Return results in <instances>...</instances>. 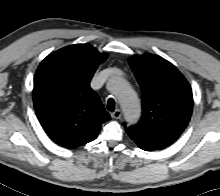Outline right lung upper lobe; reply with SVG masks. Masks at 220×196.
<instances>
[{"instance_id": "cb5924a9", "label": "right lung upper lobe", "mask_w": 220, "mask_h": 196, "mask_svg": "<svg viewBox=\"0 0 220 196\" xmlns=\"http://www.w3.org/2000/svg\"><path fill=\"white\" fill-rule=\"evenodd\" d=\"M106 54L75 44L49 54L39 65L33 89L37 117L57 144L74 149L91 142L110 119L90 80Z\"/></svg>"}]
</instances>
